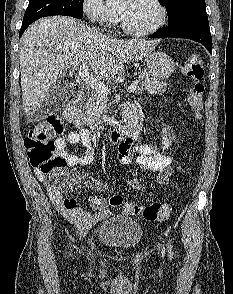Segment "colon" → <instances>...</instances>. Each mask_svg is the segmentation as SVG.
I'll return each mask as SVG.
<instances>
[{"label":"colon","instance_id":"colon-1","mask_svg":"<svg viewBox=\"0 0 233 294\" xmlns=\"http://www.w3.org/2000/svg\"><path fill=\"white\" fill-rule=\"evenodd\" d=\"M184 74L190 80L188 103L193 113L200 117L203 108L205 87L203 84L204 62L200 55L192 54L184 65ZM64 125L58 116L52 115L36 123L25 139V147L31 165L46 176L50 184L64 190L74 187V177L66 170L67 161L58 153L55 136L61 134ZM121 196H114L110 206L122 205ZM123 209L131 215L141 214L150 221H163L169 216V207L160 202H153L147 206L136 203H125Z\"/></svg>","mask_w":233,"mask_h":294}]
</instances>
